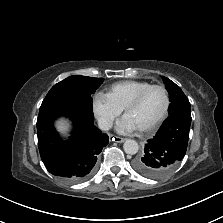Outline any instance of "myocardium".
<instances>
[{"label": "myocardium", "mask_w": 223, "mask_h": 223, "mask_svg": "<svg viewBox=\"0 0 223 223\" xmlns=\"http://www.w3.org/2000/svg\"><path fill=\"white\" fill-rule=\"evenodd\" d=\"M152 89H160L163 91L165 98H166V104H165V108H164L162 114L155 122H153L152 124H150L146 127L138 129V131L141 133H147V132L154 131L156 128H158L162 124V122L168 116L170 106H171V99H170V94H169L168 90L163 85H157V84L150 85V86L144 88L143 90H141L123 109L124 114L126 115V113L128 111H130L131 109L135 108L142 101L144 96Z\"/></svg>", "instance_id": "myocardium-1"}]
</instances>
